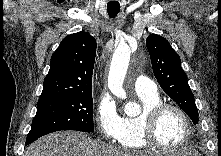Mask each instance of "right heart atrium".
<instances>
[{
    "label": "right heart atrium",
    "mask_w": 221,
    "mask_h": 156,
    "mask_svg": "<svg viewBox=\"0 0 221 156\" xmlns=\"http://www.w3.org/2000/svg\"><path fill=\"white\" fill-rule=\"evenodd\" d=\"M95 122L101 137L106 141L118 139L121 130V116L114 99L102 92L95 108Z\"/></svg>",
    "instance_id": "obj_1"
}]
</instances>
